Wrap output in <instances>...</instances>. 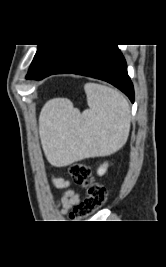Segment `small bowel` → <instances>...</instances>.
Listing matches in <instances>:
<instances>
[{"label":"small bowel","instance_id":"1","mask_svg":"<svg viewBox=\"0 0 166 267\" xmlns=\"http://www.w3.org/2000/svg\"><path fill=\"white\" fill-rule=\"evenodd\" d=\"M52 181L58 188H65L68 186V182L64 180L63 178L59 177H52ZM79 200L78 195L74 193L73 191H66L62 200L61 204L64 210H67L72 205L77 203Z\"/></svg>","mask_w":166,"mask_h":267}]
</instances>
